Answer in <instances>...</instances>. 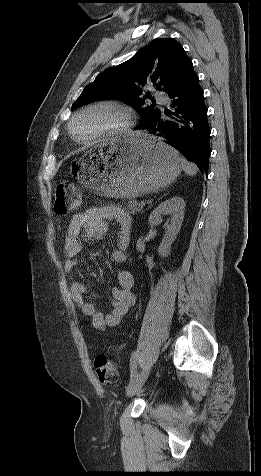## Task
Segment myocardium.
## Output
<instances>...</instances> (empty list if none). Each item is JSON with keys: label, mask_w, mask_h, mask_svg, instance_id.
<instances>
[{"label": "myocardium", "mask_w": 261, "mask_h": 476, "mask_svg": "<svg viewBox=\"0 0 261 476\" xmlns=\"http://www.w3.org/2000/svg\"><path fill=\"white\" fill-rule=\"evenodd\" d=\"M99 108H109L116 111L118 115L120 116V121L115 126L100 132L99 134H97L96 136L90 139H87V140L78 139L75 136L74 130H73L74 122L81 115L87 112L93 111L95 109H99ZM133 119H134L133 111L127 104L116 101V100H98L81 107L72 115L68 123V132L71 138L76 143L82 144V145H90L98 141H101L105 138H108L111 136H117L126 132L131 127L133 123Z\"/></svg>", "instance_id": "obj_1"}]
</instances>
